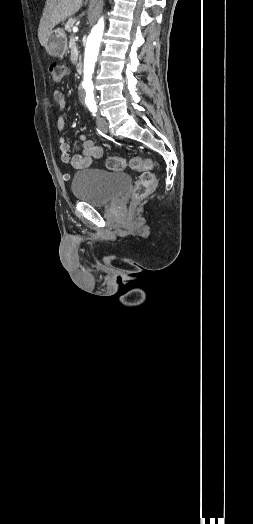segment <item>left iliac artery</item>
I'll return each mask as SVG.
<instances>
[{
	"instance_id": "obj_1",
	"label": "left iliac artery",
	"mask_w": 253,
	"mask_h": 524,
	"mask_svg": "<svg viewBox=\"0 0 253 524\" xmlns=\"http://www.w3.org/2000/svg\"><path fill=\"white\" fill-rule=\"evenodd\" d=\"M87 106H88L89 110L93 114H95L97 112V106H96V103L94 101L87 103Z\"/></svg>"
}]
</instances>
